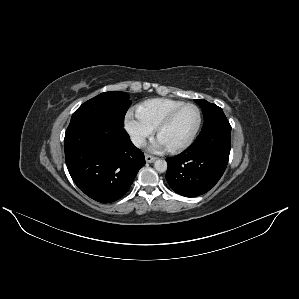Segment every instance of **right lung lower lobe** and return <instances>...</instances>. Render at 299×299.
Masks as SVG:
<instances>
[{"mask_svg": "<svg viewBox=\"0 0 299 299\" xmlns=\"http://www.w3.org/2000/svg\"><path fill=\"white\" fill-rule=\"evenodd\" d=\"M106 125L110 126L109 133H105ZM64 148L73 181L100 203L120 199L145 164L144 154L133 145L125 129L106 120L70 122Z\"/></svg>", "mask_w": 299, "mask_h": 299, "instance_id": "obj_1", "label": "right lung lower lobe"}]
</instances>
